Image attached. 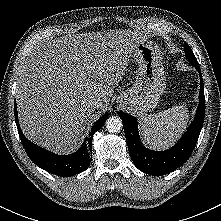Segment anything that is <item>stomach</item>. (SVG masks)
<instances>
[{
    "label": "stomach",
    "instance_id": "stomach-1",
    "mask_svg": "<svg viewBox=\"0 0 221 221\" xmlns=\"http://www.w3.org/2000/svg\"><path fill=\"white\" fill-rule=\"evenodd\" d=\"M157 44L140 41L134 50L139 68L135 83L118 96V103L138 115L155 109L166 88L162 55Z\"/></svg>",
    "mask_w": 221,
    "mask_h": 221
}]
</instances>
